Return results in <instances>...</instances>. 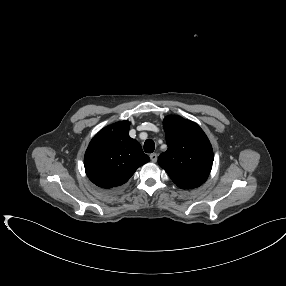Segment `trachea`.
Masks as SVG:
<instances>
[{
    "label": "trachea",
    "instance_id": "3493384b",
    "mask_svg": "<svg viewBox=\"0 0 286 286\" xmlns=\"http://www.w3.org/2000/svg\"><path fill=\"white\" fill-rule=\"evenodd\" d=\"M155 149V143L151 139H147L144 143V151L146 153H152Z\"/></svg>",
    "mask_w": 286,
    "mask_h": 286
}]
</instances>
